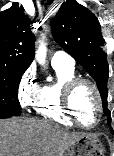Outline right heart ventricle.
Listing matches in <instances>:
<instances>
[{"label": "right heart ventricle", "instance_id": "obj_1", "mask_svg": "<svg viewBox=\"0 0 114 156\" xmlns=\"http://www.w3.org/2000/svg\"><path fill=\"white\" fill-rule=\"evenodd\" d=\"M57 79L40 87L39 95L33 105L35 112L42 118L71 127L75 123L69 118L62 106L64 85L75 77L74 68L53 66Z\"/></svg>", "mask_w": 114, "mask_h": 156}]
</instances>
